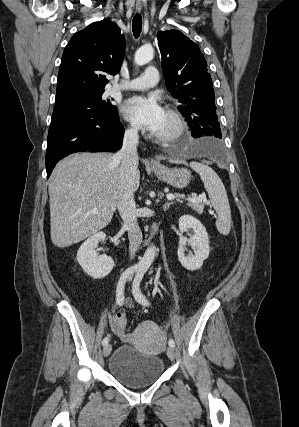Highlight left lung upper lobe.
I'll return each mask as SVG.
<instances>
[{"label":"left lung upper lobe","instance_id":"left-lung-upper-lobe-1","mask_svg":"<svg viewBox=\"0 0 299 427\" xmlns=\"http://www.w3.org/2000/svg\"><path fill=\"white\" fill-rule=\"evenodd\" d=\"M157 38L166 86L182 104L179 111L184 116L195 115V108H208L212 119L210 130L215 137L222 138L212 79L199 47L177 30L160 31Z\"/></svg>","mask_w":299,"mask_h":427}]
</instances>
